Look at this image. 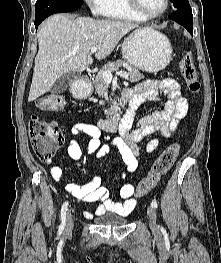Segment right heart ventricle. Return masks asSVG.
<instances>
[{"mask_svg": "<svg viewBox=\"0 0 221 263\" xmlns=\"http://www.w3.org/2000/svg\"><path fill=\"white\" fill-rule=\"evenodd\" d=\"M103 15L105 17L124 20L142 21L143 19L129 6L127 0H105Z\"/></svg>", "mask_w": 221, "mask_h": 263, "instance_id": "e07e8e85", "label": "right heart ventricle"}]
</instances>
